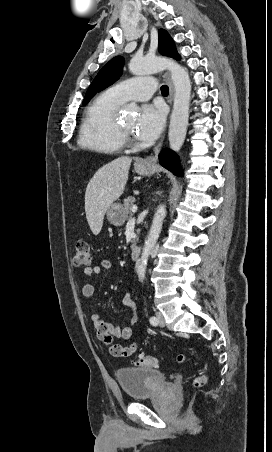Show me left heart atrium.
Here are the masks:
<instances>
[{"label":"left heart atrium","mask_w":272,"mask_h":452,"mask_svg":"<svg viewBox=\"0 0 272 452\" xmlns=\"http://www.w3.org/2000/svg\"><path fill=\"white\" fill-rule=\"evenodd\" d=\"M165 121V113L160 105H146L141 109L135 125V135L143 141H152L160 134Z\"/></svg>","instance_id":"39dd6f15"}]
</instances>
